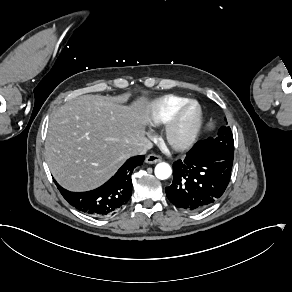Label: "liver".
<instances>
[{
	"instance_id": "liver-1",
	"label": "liver",
	"mask_w": 292,
	"mask_h": 292,
	"mask_svg": "<svg viewBox=\"0 0 292 292\" xmlns=\"http://www.w3.org/2000/svg\"><path fill=\"white\" fill-rule=\"evenodd\" d=\"M149 103L131 108L110 98L84 95L51 118L45 159L64 187L83 191L104 183L145 142Z\"/></svg>"
}]
</instances>
